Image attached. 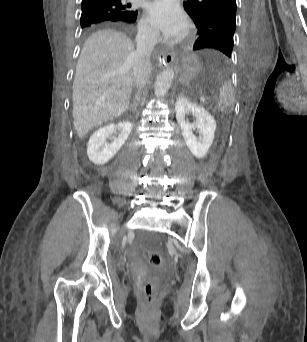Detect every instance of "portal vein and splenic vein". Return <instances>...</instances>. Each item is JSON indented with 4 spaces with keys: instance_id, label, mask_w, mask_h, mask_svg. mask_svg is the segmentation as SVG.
<instances>
[{
    "instance_id": "portal-vein-and-splenic-vein-1",
    "label": "portal vein and splenic vein",
    "mask_w": 307,
    "mask_h": 342,
    "mask_svg": "<svg viewBox=\"0 0 307 342\" xmlns=\"http://www.w3.org/2000/svg\"><path fill=\"white\" fill-rule=\"evenodd\" d=\"M108 76H111V74H103V78H108ZM198 95H199V101L201 102V101H203L204 99V95H203V93L201 92V91H199L198 93H197Z\"/></svg>"
}]
</instances>
